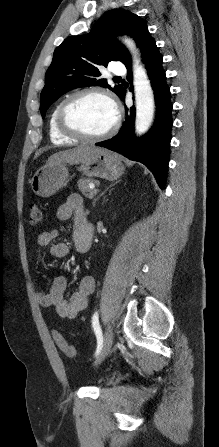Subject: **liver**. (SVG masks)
<instances>
[{"instance_id":"6515ba94","label":"liver","mask_w":219,"mask_h":447,"mask_svg":"<svg viewBox=\"0 0 219 447\" xmlns=\"http://www.w3.org/2000/svg\"><path fill=\"white\" fill-rule=\"evenodd\" d=\"M104 149L89 145H80L78 147L59 151L48 158L47 164L69 163L79 164L91 161Z\"/></svg>"}]
</instances>
